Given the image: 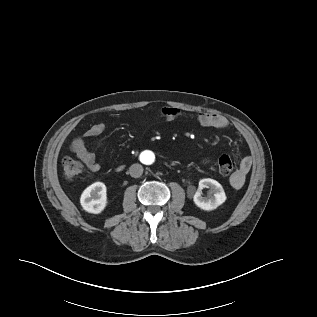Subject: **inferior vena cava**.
<instances>
[{
  "label": "inferior vena cava",
  "mask_w": 317,
  "mask_h": 317,
  "mask_svg": "<svg viewBox=\"0 0 317 317\" xmlns=\"http://www.w3.org/2000/svg\"><path fill=\"white\" fill-rule=\"evenodd\" d=\"M129 174L131 177L138 178L143 174V167L141 164H133L129 168Z\"/></svg>",
  "instance_id": "inferior-vena-cava-1"
}]
</instances>
